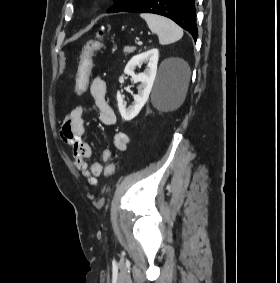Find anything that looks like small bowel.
<instances>
[{
    "mask_svg": "<svg viewBox=\"0 0 280 283\" xmlns=\"http://www.w3.org/2000/svg\"><path fill=\"white\" fill-rule=\"evenodd\" d=\"M89 91L93 97L97 110L99 122L105 126L115 124V114L106 99V84L100 77L91 79L88 83ZM84 108L77 106L72 109L64 119L60 130L62 141L70 148L71 156L75 167L80 170L91 185L97 184V178L102 174L104 166L101 162H93L90 165L88 160L92 157L93 150L90 144L84 141ZM130 143L129 136L119 132L114 136V146L118 151H125ZM113 153L104 149L101 153V160L104 163L111 161Z\"/></svg>",
    "mask_w": 280,
    "mask_h": 283,
    "instance_id": "c3829d8e",
    "label": "small bowel"
}]
</instances>
